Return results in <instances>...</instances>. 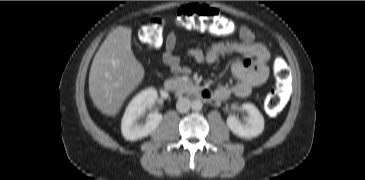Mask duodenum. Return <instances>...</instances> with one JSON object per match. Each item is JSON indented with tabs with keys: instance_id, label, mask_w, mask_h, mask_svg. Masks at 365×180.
I'll return each instance as SVG.
<instances>
[{
	"instance_id": "duodenum-1",
	"label": "duodenum",
	"mask_w": 365,
	"mask_h": 180,
	"mask_svg": "<svg viewBox=\"0 0 365 180\" xmlns=\"http://www.w3.org/2000/svg\"><path fill=\"white\" fill-rule=\"evenodd\" d=\"M164 88L168 91L181 92L182 90H188L195 95L199 100L207 102L213 98V93L207 89L194 84L184 83L179 79L170 78L164 82Z\"/></svg>"
}]
</instances>
